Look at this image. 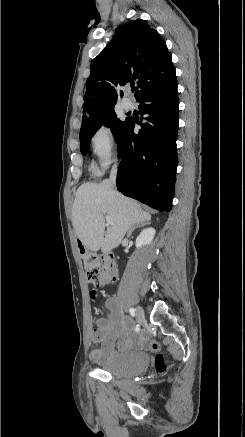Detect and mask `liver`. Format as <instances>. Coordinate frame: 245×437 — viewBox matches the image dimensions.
Here are the masks:
<instances>
[{
    "label": "liver",
    "mask_w": 245,
    "mask_h": 437,
    "mask_svg": "<svg viewBox=\"0 0 245 437\" xmlns=\"http://www.w3.org/2000/svg\"><path fill=\"white\" fill-rule=\"evenodd\" d=\"M105 215L113 224L105 231ZM151 219L133 199L114 189L110 180L85 183L77 192L72 208V224L77 237L90 251L108 253L121 243L134 225Z\"/></svg>",
    "instance_id": "6515ba94"
}]
</instances>
